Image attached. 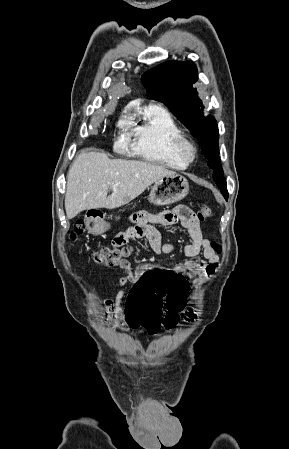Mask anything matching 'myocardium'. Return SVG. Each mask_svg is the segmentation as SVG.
I'll use <instances>...</instances> for the list:
<instances>
[{
  "label": "myocardium",
  "instance_id": "f54148a6",
  "mask_svg": "<svg viewBox=\"0 0 289 449\" xmlns=\"http://www.w3.org/2000/svg\"><path fill=\"white\" fill-rule=\"evenodd\" d=\"M173 149L176 155L187 163L194 161L197 157L196 145L183 134L173 139Z\"/></svg>",
  "mask_w": 289,
  "mask_h": 449
}]
</instances>
